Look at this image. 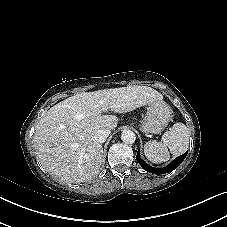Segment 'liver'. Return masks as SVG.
I'll use <instances>...</instances> for the list:
<instances>
[{"label": "liver", "mask_w": 227, "mask_h": 227, "mask_svg": "<svg viewBox=\"0 0 227 227\" xmlns=\"http://www.w3.org/2000/svg\"><path fill=\"white\" fill-rule=\"evenodd\" d=\"M147 86H128L82 92L51 107L38 122L34 148L43 168L67 183H81L95 177L102 163V145L94 139L99 129L114 130L115 115L161 100Z\"/></svg>", "instance_id": "liver-1"}]
</instances>
